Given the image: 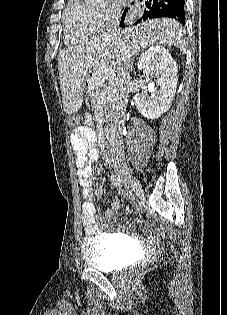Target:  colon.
Here are the masks:
<instances>
[{
	"label": "colon",
	"mask_w": 227,
	"mask_h": 315,
	"mask_svg": "<svg viewBox=\"0 0 227 315\" xmlns=\"http://www.w3.org/2000/svg\"><path fill=\"white\" fill-rule=\"evenodd\" d=\"M68 124L71 127H78L79 126V117L76 115H72L71 117H69L68 119Z\"/></svg>",
	"instance_id": "colon-1"
}]
</instances>
